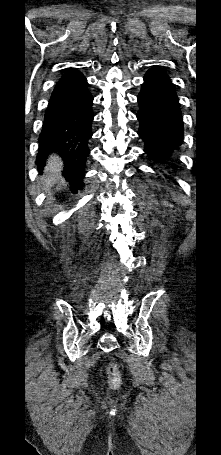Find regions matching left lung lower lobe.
<instances>
[{"mask_svg": "<svg viewBox=\"0 0 221 455\" xmlns=\"http://www.w3.org/2000/svg\"><path fill=\"white\" fill-rule=\"evenodd\" d=\"M137 99L140 106L138 134L145 141L144 151L152 159L165 162L182 144L184 130L178 98L169 76L155 68L148 70Z\"/></svg>", "mask_w": 221, "mask_h": 455, "instance_id": "left-lung-lower-lobe-1", "label": "left lung lower lobe"}]
</instances>
